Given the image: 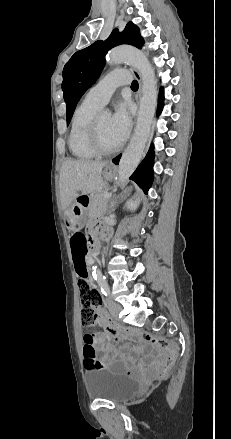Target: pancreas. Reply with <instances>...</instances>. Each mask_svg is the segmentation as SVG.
I'll list each match as a JSON object with an SVG mask.
<instances>
[{
    "mask_svg": "<svg viewBox=\"0 0 231 439\" xmlns=\"http://www.w3.org/2000/svg\"><path fill=\"white\" fill-rule=\"evenodd\" d=\"M105 193L99 192L92 195L89 203V208L87 210V215L89 218H94L102 215L107 207V198H104Z\"/></svg>",
    "mask_w": 231,
    "mask_h": 439,
    "instance_id": "pancreas-1",
    "label": "pancreas"
}]
</instances>
